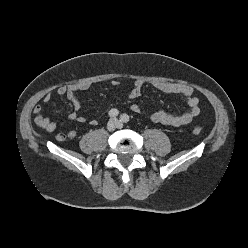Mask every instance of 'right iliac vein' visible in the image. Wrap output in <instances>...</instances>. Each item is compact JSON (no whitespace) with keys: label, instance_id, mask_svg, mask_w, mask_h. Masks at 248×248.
<instances>
[{"label":"right iliac vein","instance_id":"1","mask_svg":"<svg viewBox=\"0 0 248 248\" xmlns=\"http://www.w3.org/2000/svg\"><path fill=\"white\" fill-rule=\"evenodd\" d=\"M116 126H117V122L114 121V120H111V121H109L108 124H107V129H108L109 131H113V130L116 128Z\"/></svg>","mask_w":248,"mask_h":248}]
</instances>
